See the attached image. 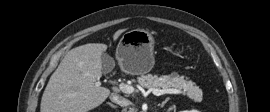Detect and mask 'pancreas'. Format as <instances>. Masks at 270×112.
Wrapping results in <instances>:
<instances>
[{
    "mask_svg": "<svg viewBox=\"0 0 270 112\" xmlns=\"http://www.w3.org/2000/svg\"><path fill=\"white\" fill-rule=\"evenodd\" d=\"M137 81L142 87L148 89L175 88L178 90H184L187 96L195 102H200L202 100V90L196 86L194 82L185 79L183 76H179L175 72L170 75H163L161 77L152 74L141 75L137 78Z\"/></svg>",
    "mask_w": 270,
    "mask_h": 112,
    "instance_id": "pancreas-1",
    "label": "pancreas"
}]
</instances>
